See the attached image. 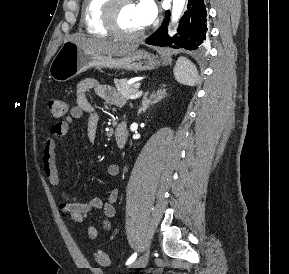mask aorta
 <instances>
[{"label": "aorta", "mask_w": 289, "mask_h": 274, "mask_svg": "<svg viewBox=\"0 0 289 274\" xmlns=\"http://www.w3.org/2000/svg\"><path fill=\"white\" fill-rule=\"evenodd\" d=\"M186 0H173V7H172V22H177L181 17L184 5Z\"/></svg>", "instance_id": "obj_1"}]
</instances>
